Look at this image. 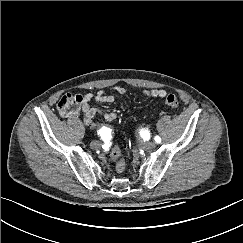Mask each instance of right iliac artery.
Wrapping results in <instances>:
<instances>
[{"label":"right iliac artery","mask_w":243,"mask_h":243,"mask_svg":"<svg viewBox=\"0 0 243 243\" xmlns=\"http://www.w3.org/2000/svg\"><path fill=\"white\" fill-rule=\"evenodd\" d=\"M102 130H100V133H101V135H102V132H101ZM102 138H103V135H102Z\"/></svg>","instance_id":"82829eb1"}]
</instances>
